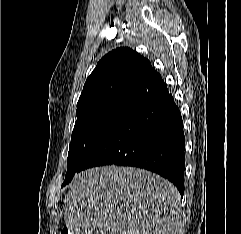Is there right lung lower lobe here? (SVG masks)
I'll list each match as a JSON object with an SVG mask.
<instances>
[{
	"label": "right lung lower lobe",
	"mask_w": 241,
	"mask_h": 234,
	"mask_svg": "<svg viewBox=\"0 0 241 234\" xmlns=\"http://www.w3.org/2000/svg\"><path fill=\"white\" fill-rule=\"evenodd\" d=\"M184 151L181 113L164 84L91 150L81 170L111 164L144 168L170 180L183 196Z\"/></svg>",
	"instance_id": "obj_1"
}]
</instances>
